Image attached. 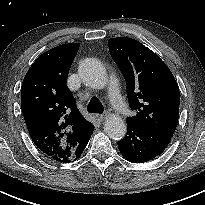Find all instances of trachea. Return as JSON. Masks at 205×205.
Here are the masks:
<instances>
[{
	"instance_id": "trachea-1",
	"label": "trachea",
	"mask_w": 205,
	"mask_h": 205,
	"mask_svg": "<svg viewBox=\"0 0 205 205\" xmlns=\"http://www.w3.org/2000/svg\"><path fill=\"white\" fill-rule=\"evenodd\" d=\"M87 109L91 113H103L104 111L102 103L96 97L91 98L88 103Z\"/></svg>"
}]
</instances>
